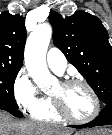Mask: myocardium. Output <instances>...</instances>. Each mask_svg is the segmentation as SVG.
<instances>
[{
    "mask_svg": "<svg viewBox=\"0 0 112 135\" xmlns=\"http://www.w3.org/2000/svg\"><path fill=\"white\" fill-rule=\"evenodd\" d=\"M60 84L63 86H70V85L84 86L87 89V91L89 92V94L92 98V101H93V109H92V112L90 113V115L85 118H77L66 111V109L63 107L61 101L58 98L50 95L52 106H53L54 110L56 111V113L61 118L68 120L70 122H73V123H77V124H86V123L93 121L94 119H96L98 117V115L100 113V100H99V97H98L96 91L94 90V88L87 81H85L83 79L73 78V79H67L65 81H62V82H60Z\"/></svg>",
    "mask_w": 112,
    "mask_h": 135,
    "instance_id": "obj_1",
    "label": "myocardium"
}]
</instances>
